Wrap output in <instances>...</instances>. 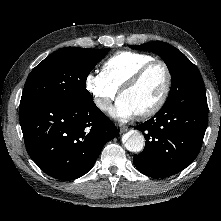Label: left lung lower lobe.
Returning a JSON list of instances; mask_svg holds the SVG:
<instances>
[{
    "instance_id": "1",
    "label": "left lung lower lobe",
    "mask_w": 221,
    "mask_h": 221,
    "mask_svg": "<svg viewBox=\"0 0 221 221\" xmlns=\"http://www.w3.org/2000/svg\"><path fill=\"white\" fill-rule=\"evenodd\" d=\"M207 124V100L165 103L153 118L136 126L146 139L143 152L133 158L136 168L153 178L182 171L197 157Z\"/></svg>"
}]
</instances>
